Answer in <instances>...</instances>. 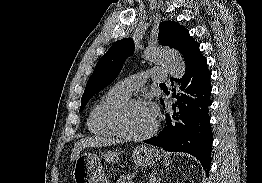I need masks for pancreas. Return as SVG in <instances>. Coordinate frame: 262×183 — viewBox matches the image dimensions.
<instances>
[{"mask_svg":"<svg viewBox=\"0 0 262 183\" xmlns=\"http://www.w3.org/2000/svg\"><path fill=\"white\" fill-rule=\"evenodd\" d=\"M116 183H134L131 175H122Z\"/></svg>","mask_w":262,"mask_h":183,"instance_id":"cf45deb5","label":"pancreas"}]
</instances>
